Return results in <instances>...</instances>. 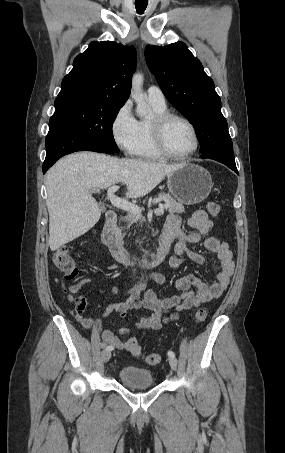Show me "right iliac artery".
<instances>
[{"label":"right iliac artery","instance_id":"right-iliac-artery-1","mask_svg":"<svg viewBox=\"0 0 285 453\" xmlns=\"http://www.w3.org/2000/svg\"><path fill=\"white\" fill-rule=\"evenodd\" d=\"M102 347H105V344H104V343H102ZM106 349L109 350V351L113 350V348L110 347V346H107Z\"/></svg>","mask_w":285,"mask_h":453}]
</instances>
